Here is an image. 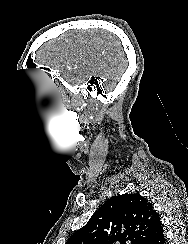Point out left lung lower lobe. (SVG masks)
Wrapping results in <instances>:
<instances>
[{
	"instance_id": "1",
	"label": "left lung lower lobe",
	"mask_w": 188,
	"mask_h": 244,
	"mask_svg": "<svg viewBox=\"0 0 188 244\" xmlns=\"http://www.w3.org/2000/svg\"><path fill=\"white\" fill-rule=\"evenodd\" d=\"M145 244H166L163 227L158 215L152 222Z\"/></svg>"
}]
</instances>
